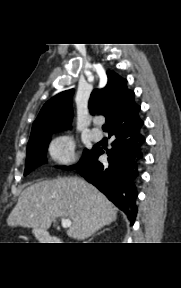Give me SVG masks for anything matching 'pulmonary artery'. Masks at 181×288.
Returning a JSON list of instances; mask_svg holds the SVG:
<instances>
[{
	"label": "pulmonary artery",
	"mask_w": 181,
	"mask_h": 288,
	"mask_svg": "<svg viewBox=\"0 0 181 288\" xmlns=\"http://www.w3.org/2000/svg\"><path fill=\"white\" fill-rule=\"evenodd\" d=\"M91 137L95 140V141H99L102 139L103 137V133L100 129L98 128H94L91 130Z\"/></svg>",
	"instance_id": "obj_1"
}]
</instances>
